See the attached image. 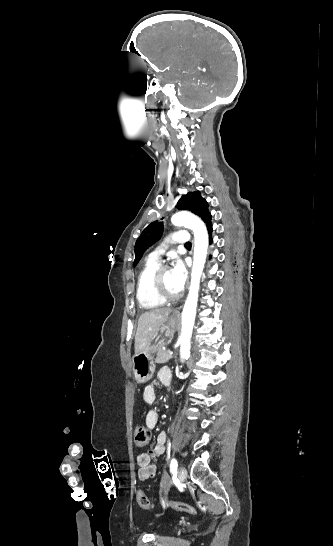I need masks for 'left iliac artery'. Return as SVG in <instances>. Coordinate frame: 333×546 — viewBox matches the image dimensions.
<instances>
[{"label":"left iliac artery","mask_w":333,"mask_h":546,"mask_svg":"<svg viewBox=\"0 0 333 546\" xmlns=\"http://www.w3.org/2000/svg\"><path fill=\"white\" fill-rule=\"evenodd\" d=\"M177 467H178V462L175 458H173L170 463V471L172 473H175L177 471Z\"/></svg>","instance_id":"1"}]
</instances>
